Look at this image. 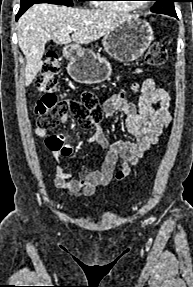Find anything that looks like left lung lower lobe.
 I'll return each instance as SVG.
<instances>
[{
    "instance_id": "0a47b994",
    "label": "left lung lower lobe",
    "mask_w": 193,
    "mask_h": 287,
    "mask_svg": "<svg viewBox=\"0 0 193 287\" xmlns=\"http://www.w3.org/2000/svg\"><path fill=\"white\" fill-rule=\"evenodd\" d=\"M169 15L177 18L176 12L171 13V14H169Z\"/></svg>"
}]
</instances>
